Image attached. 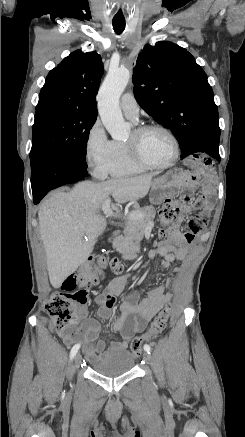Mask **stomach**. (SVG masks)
Returning a JSON list of instances; mask_svg holds the SVG:
<instances>
[{"instance_id": "stomach-1", "label": "stomach", "mask_w": 245, "mask_h": 437, "mask_svg": "<svg viewBox=\"0 0 245 437\" xmlns=\"http://www.w3.org/2000/svg\"><path fill=\"white\" fill-rule=\"evenodd\" d=\"M189 182V176L180 171H170L156 176L151 184L149 200L153 205H160L176 190L184 187Z\"/></svg>"}]
</instances>
